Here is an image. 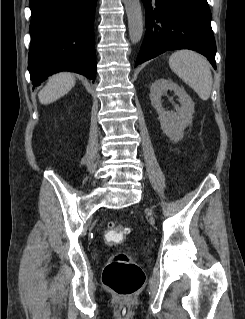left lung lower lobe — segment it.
Returning <instances> with one entry per match:
<instances>
[{
    "label": "left lung lower lobe",
    "mask_w": 245,
    "mask_h": 319,
    "mask_svg": "<svg viewBox=\"0 0 245 319\" xmlns=\"http://www.w3.org/2000/svg\"><path fill=\"white\" fill-rule=\"evenodd\" d=\"M146 33L136 65L174 49L195 50L216 69V43L206 0H143Z\"/></svg>",
    "instance_id": "1"
}]
</instances>
